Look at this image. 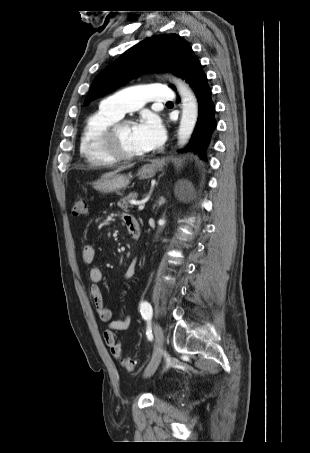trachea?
<instances>
[{"label":"trachea","mask_w":310,"mask_h":453,"mask_svg":"<svg viewBox=\"0 0 310 453\" xmlns=\"http://www.w3.org/2000/svg\"><path fill=\"white\" fill-rule=\"evenodd\" d=\"M166 104H173V102H167Z\"/></svg>","instance_id":"3493384b"}]
</instances>
